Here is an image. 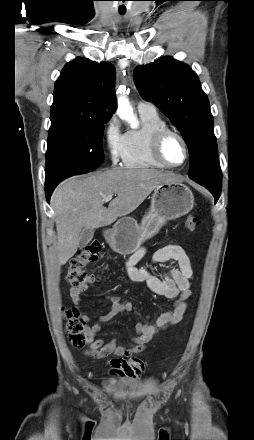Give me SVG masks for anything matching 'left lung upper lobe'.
I'll return each mask as SVG.
<instances>
[{
	"label": "left lung upper lobe",
	"mask_w": 254,
	"mask_h": 440,
	"mask_svg": "<svg viewBox=\"0 0 254 440\" xmlns=\"http://www.w3.org/2000/svg\"><path fill=\"white\" fill-rule=\"evenodd\" d=\"M142 97L156 104L180 131L190 156L189 177L220 197L222 174L213 116L196 73L171 57L135 68Z\"/></svg>",
	"instance_id": "obj_1"
}]
</instances>
